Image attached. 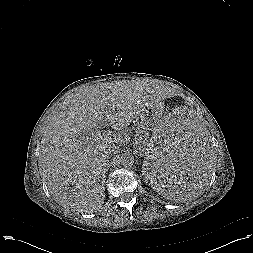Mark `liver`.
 Instances as JSON below:
<instances>
[{
  "instance_id": "liver-1",
  "label": "liver",
  "mask_w": 253,
  "mask_h": 253,
  "mask_svg": "<svg viewBox=\"0 0 253 253\" xmlns=\"http://www.w3.org/2000/svg\"><path fill=\"white\" fill-rule=\"evenodd\" d=\"M158 91L134 81L91 85L71 96L51 117L38 163L59 205L90 213L101 207L107 148L119 143L124 129L159 100ZM104 121L113 130L95 140L91 132Z\"/></svg>"
}]
</instances>
